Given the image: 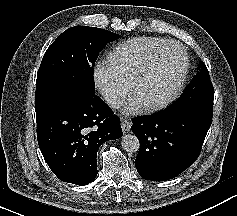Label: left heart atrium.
Segmentation results:
<instances>
[{"label":"left heart atrium","instance_id":"left-heart-atrium-1","mask_svg":"<svg viewBox=\"0 0 237 216\" xmlns=\"http://www.w3.org/2000/svg\"><path fill=\"white\" fill-rule=\"evenodd\" d=\"M138 111L137 104L132 100H127L122 104V113L127 117L134 116Z\"/></svg>","mask_w":237,"mask_h":216}]
</instances>
